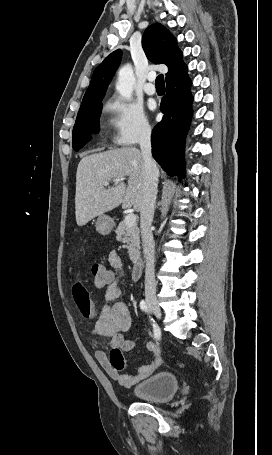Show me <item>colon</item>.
Returning <instances> with one entry per match:
<instances>
[{"instance_id": "obj_1", "label": "colon", "mask_w": 272, "mask_h": 455, "mask_svg": "<svg viewBox=\"0 0 272 455\" xmlns=\"http://www.w3.org/2000/svg\"><path fill=\"white\" fill-rule=\"evenodd\" d=\"M92 283L96 289L106 287L112 279L113 273L102 263H95L91 267ZM110 363L117 369H123L124 359L123 350L120 347H114L110 354Z\"/></svg>"}]
</instances>
